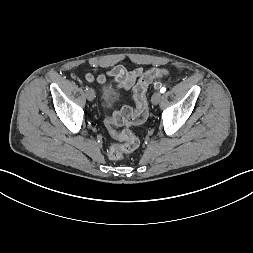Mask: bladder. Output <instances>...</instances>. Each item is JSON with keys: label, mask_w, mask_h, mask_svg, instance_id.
<instances>
[{"label": "bladder", "mask_w": 253, "mask_h": 253, "mask_svg": "<svg viewBox=\"0 0 253 253\" xmlns=\"http://www.w3.org/2000/svg\"><path fill=\"white\" fill-rule=\"evenodd\" d=\"M103 94L105 97H111L113 95V89L110 87H105L103 90Z\"/></svg>", "instance_id": "31cf9c89"}]
</instances>
